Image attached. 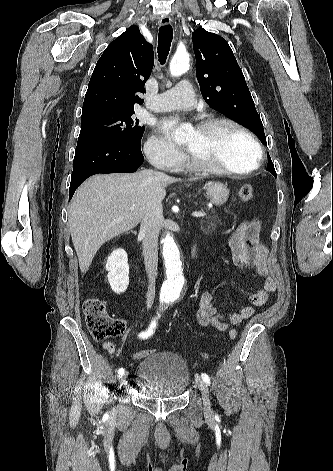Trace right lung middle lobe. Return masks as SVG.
<instances>
[{"label": "right lung middle lobe", "instance_id": "1", "mask_svg": "<svg viewBox=\"0 0 333 471\" xmlns=\"http://www.w3.org/2000/svg\"><path fill=\"white\" fill-rule=\"evenodd\" d=\"M134 109L110 111L81 118L79 140L106 138L140 148L144 126L133 118Z\"/></svg>", "mask_w": 333, "mask_h": 471}]
</instances>
